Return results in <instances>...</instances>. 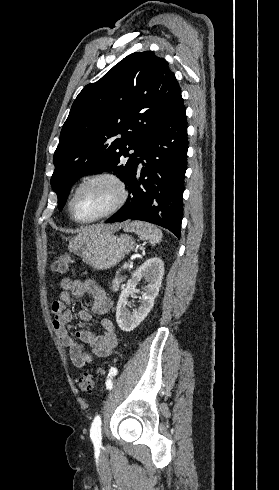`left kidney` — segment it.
Instances as JSON below:
<instances>
[{"label":"left kidney","instance_id":"1","mask_svg":"<svg viewBox=\"0 0 279 490\" xmlns=\"http://www.w3.org/2000/svg\"><path fill=\"white\" fill-rule=\"evenodd\" d=\"M164 276V264L161 258H150L146 260L142 266L137 268L131 280H128L125 290H122L116 308V322L123 332H132L135 330L154 306V300L159 294L162 280ZM144 278L145 282H149L142 292V300L133 312H128V298L132 292H136V286Z\"/></svg>","mask_w":279,"mask_h":490}]
</instances>
